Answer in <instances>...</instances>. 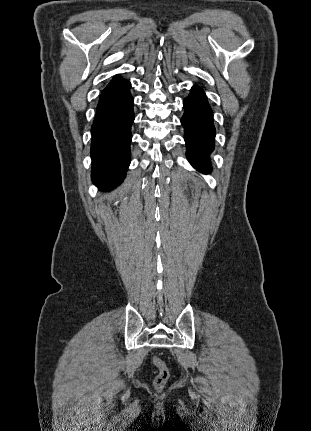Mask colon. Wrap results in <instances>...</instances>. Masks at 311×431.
Segmentation results:
<instances>
[{
	"label": "colon",
	"instance_id": "colon-1",
	"mask_svg": "<svg viewBox=\"0 0 311 431\" xmlns=\"http://www.w3.org/2000/svg\"><path fill=\"white\" fill-rule=\"evenodd\" d=\"M153 364L158 369V373L155 378V385L162 387L169 377V370L166 363L158 356L153 357Z\"/></svg>",
	"mask_w": 311,
	"mask_h": 431
}]
</instances>
